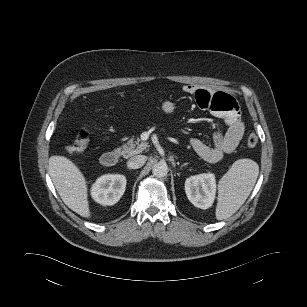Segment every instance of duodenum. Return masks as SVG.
I'll list each match as a JSON object with an SVG mask.
<instances>
[{
    "instance_id": "obj_1",
    "label": "duodenum",
    "mask_w": 307,
    "mask_h": 307,
    "mask_svg": "<svg viewBox=\"0 0 307 307\" xmlns=\"http://www.w3.org/2000/svg\"><path fill=\"white\" fill-rule=\"evenodd\" d=\"M119 154L116 151H108L102 154L100 161L104 167H113L118 162Z\"/></svg>"
}]
</instances>
